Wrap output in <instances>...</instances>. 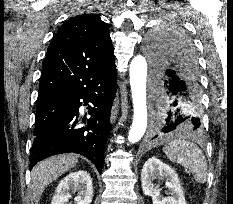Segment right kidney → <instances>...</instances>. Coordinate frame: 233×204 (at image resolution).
Masks as SVG:
<instances>
[{"label":"right kidney","instance_id":"right-kidney-1","mask_svg":"<svg viewBox=\"0 0 233 204\" xmlns=\"http://www.w3.org/2000/svg\"><path fill=\"white\" fill-rule=\"evenodd\" d=\"M70 192L78 193L74 198L75 204H90L93 199V186L89 173L78 170L64 177L56 188L51 204H71L69 202Z\"/></svg>","mask_w":233,"mask_h":204}]
</instances>
